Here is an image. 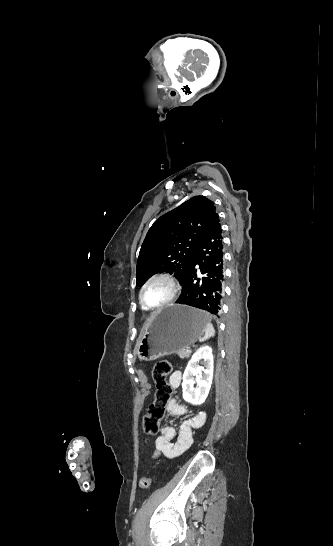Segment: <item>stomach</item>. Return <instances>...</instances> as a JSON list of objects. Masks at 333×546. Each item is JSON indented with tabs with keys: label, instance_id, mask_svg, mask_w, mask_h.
Instances as JSON below:
<instances>
[{
	"label": "stomach",
	"instance_id": "1",
	"mask_svg": "<svg viewBox=\"0 0 333 546\" xmlns=\"http://www.w3.org/2000/svg\"><path fill=\"white\" fill-rule=\"evenodd\" d=\"M209 315L186 305H172L153 315L135 353L141 360L153 361L189 348L205 332Z\"/></svg>",
	"mask_w": 333,
	"mask_h": 546
}]
</instances>
